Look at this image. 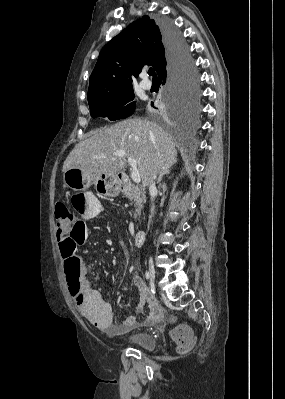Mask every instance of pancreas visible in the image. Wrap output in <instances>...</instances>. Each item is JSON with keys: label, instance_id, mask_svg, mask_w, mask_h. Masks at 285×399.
Here are the masks:
<instances>
[{"label": "pancreas", "instance_id": "1", "mask_svg": "<svg viewBox=\"0 0 285 399\" xmlns=\"http://www.w3.org/2000/svg\"><path fill=\"white\" fill-rule=\"evenodd\" d=\"M123 196L127 197L130 201H132V204H134V218L136 219L138 216H140L141 209L146 202V195L143 189L136 185L127 184L124 187Z\"/></svg>", "mask_w": 285, "mask_h": 399}]
</instances>
